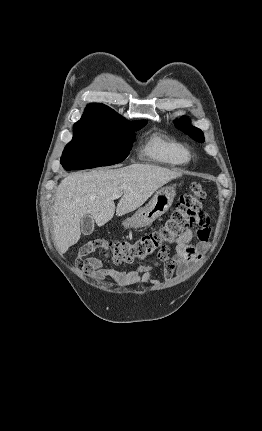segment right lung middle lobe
Returning a JSON list of instances; mask_svg holds the SVG:
<instances>
[{
    "label": "right lung middle lobe",
    "mask_w": 262,
    "mask_h": 431,
    "mask_svg": "<svg viewBox=\"0 0 262 431\" xmlns=\"http://www.w3.org/2000/svg\"><path fill=\"white\" fill-rule=\"evenodd\" d=\"M146 120L126 119L103 124H75L73 139L65 147L61 164L66 170L89 169L122 162L130 153L135 131Z\"/></svg>",
    "instance_id": "right-lung-middle-lobe-1"
}]
</instances>
